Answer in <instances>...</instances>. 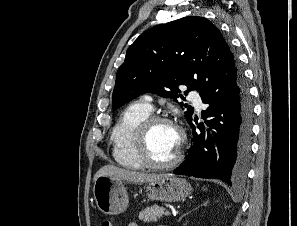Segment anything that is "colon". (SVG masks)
Masks as SVG:
<instances>
[{"label": "colon", "instance_id": "1", "mask_svg": "<svg viewBox=\"0 0 297 226\" xmlns=\"http://www.w3.org/2000/svg\"><path fill=\"white\" fill-rule=\"evenodd\" d=\"M101 226H112V225L109 221H104V222H102Z\"/></svg>", "mask_w": 297, "mask_h": 226}]
</instances>
